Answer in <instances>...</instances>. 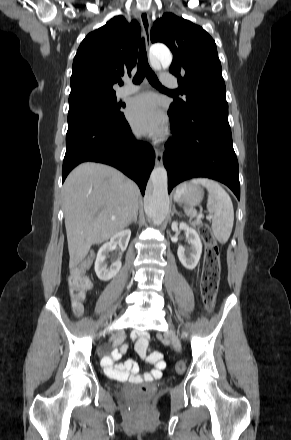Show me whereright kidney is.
<instances>
[{
  "label": "right kidney",
  "instance_id": "right-kidney-1",
  "mask_svg": "<svg viewBox=\"0 0 291 440\" xmlns=\"http://www.w3.org/2000/svg\"><path fill=\"white\" fill-rule=\"evenodd\" d=\"M130 236V229L120 231L111 237L109 242L104 243L100 247L95 261V272L100 280L108 281L120 271L122 265L120 258L112 262L110 266H108L106 259L109 252H111L117 245H119L121 250L124 251L128 245Z\"/></svg>",
  "mask_w": 291,
  "mask_h": 440
}]
</instances>
